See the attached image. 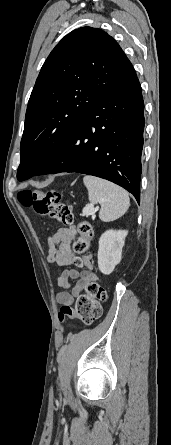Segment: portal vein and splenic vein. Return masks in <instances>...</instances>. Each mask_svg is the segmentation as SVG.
Instances as JSON below:
<instances>
[{"label": "portal vein and splenic vein", "mask_w": 171, "mask_h": 445, "mask_svg": "<svg viewBox=\"0 0 171 445\" xmlns=\"http://www.w3.org/2000/svg\"><path fill=\"white\" fill-rule=\"evenodd\" d=\"M96 209L94 208V206H87L83 209V215H89L92 212H94Z\"/></svg>", "instance_id": "portal-vein-and-splenic-vein-1"}]
</instances>
